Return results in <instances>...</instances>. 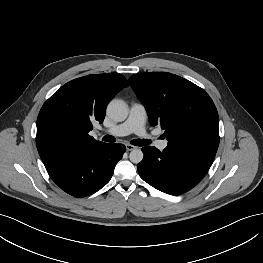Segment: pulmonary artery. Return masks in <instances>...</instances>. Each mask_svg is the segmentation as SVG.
Masks as SVG:
<instances>
[{
	"label": "pulmonary artery",
	"instance_id": "obj_1",
	"mask_svg": "<svg viewBox=\"0 0 263 263\" xmlns=\"http://www.w3.org/2000/svg\"><path fill=\"white\" fill-rule=\"evenodd\" d=\"M146 117L147 112L144 105L137 102L133 103L130 106L127 119L120 124L104 130V132L114 136H125L134 133L142 138L147 137V134L145 132ZM156 146L158 149L164 150L168 146V141L158 140L156 142Z\"/></svg>",
	"mask_w": 263,
	"mask_h": 263
}]
</instances>
